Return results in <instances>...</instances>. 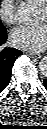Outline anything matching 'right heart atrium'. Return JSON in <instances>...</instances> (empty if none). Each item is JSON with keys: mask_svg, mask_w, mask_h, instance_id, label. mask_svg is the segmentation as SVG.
<instances>
[{"mask_svg": "<svg viewBox=\"0 0 47 129\" xmlns=\"http://www.w3.org/2000/svg\"><path fill=\"white\" fill-rule=\"evenodd\" d=\"M17 1L2 0L0 2V18L8 24H12L16 20Z\"/></svg>", "mask_w": 47, "mask_h": 129, "instance_id": "d8ad5b80", "label": "right heart atrium"}]
</instances>
